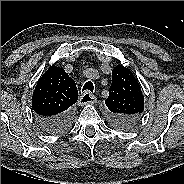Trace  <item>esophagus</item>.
I'll use <instances>...</instances> for the list:
<instances>
[{
	"label": "esophagus",
	"mask_w": 184,
	"mask_h": 184,
	"mask_svg": "<svg viewBox=\"0 0 184 184\" xmlns=\"http://www.w3.org/2000/svg\"><path fill=\"white\" fill-rule=\"evenodd\" d=\"M97 101V98L92 95L90 92L83 93L78 101V104L81 106L87 105V104H94Z\"/></svg>",
	"instance_id": "esophagus-1"
}]
</instances>
